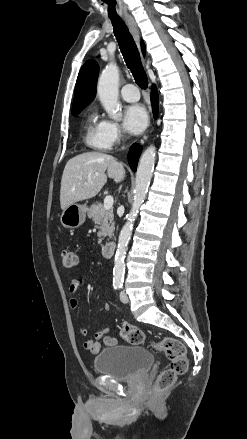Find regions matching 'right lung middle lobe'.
<instances>
[{
	"instance_id": "1",
	"label": "right lung middle lobe",
	"mask_w": 247,
	"mask_h": 439,
	"mask_svg": "<svg viewBox=\"0 0 247 439\" xmlns=\"http://www.w3.org/2000/svg\"><path fill=\"white\" fill-rule=\"evenodd\" d=\"M82 110H83V109H80V110L74 111V112H72V115H77V114H79Z\"/></svg>"
}]
</instances>
